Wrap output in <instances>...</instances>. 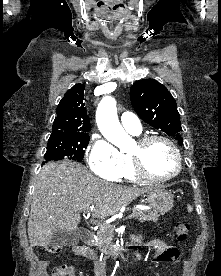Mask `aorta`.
<instances>
[{"label": "aorta", "instance_id": "762f6f07", "mask_svg": "<svg viewBox=\"0 0 221 276\" xmlns=\"http://www.w3.org/2000/svg\"><path fill=\"white\" fill-rule=\"evenodd\" d=\"M96 122L100 132L112 144L124 148L130 137L125 132L117 117L116 101L112 97H104L97 108Z\"/></svg>", "mask_w": 221, "mask_h": 276}]
</instances>
